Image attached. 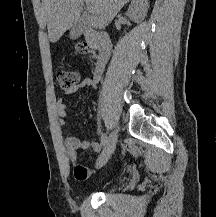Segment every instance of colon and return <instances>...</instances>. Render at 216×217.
Here are the masks:
<instances>
[{
    "mask_svg": "<svg viewBox=\"0 0 216 217\" xmlns=\"http://www.w3.org/2000/svg\"><path fill=\"white\" fill-rule=\"evenodd\" d=\"M79 53H86L88 51L87 44H80L77 47ZM56 81L63 90L69 91L77 86L79 81V73L75 70H58L56 72ZM75 174H79V170H74Z\"/></svg>",
    "mask_w": 216,
    "mask_h": 217,
    "instance_id": "obj_1",
    "label": "colon"
}]
</instances>
